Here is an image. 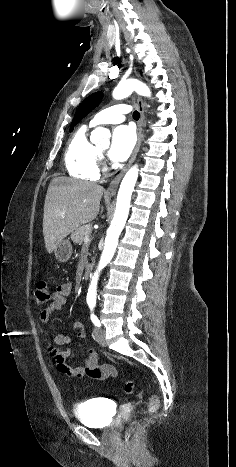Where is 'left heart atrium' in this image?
Wrapping results in <instances>:
<instances>
[{
    "label": "left heart atrium",
    "instance_id": "39dd6f15",
    "mask_svg": "<svg viewBox=\"0 0 236 467\" xmlns=\"http://www.w3.org/2000/svg\"><path fill=\"white\" fill-rule=\"evenodd\" d=\"M135 144L133 129L127 125L117 126L113 130L109 156L115 162L125 161L131 154Z\"/></svg>",
    "mask_w": 236,
    "mask_h": 467
}]
</instances>
